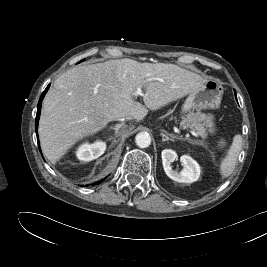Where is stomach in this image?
<instances>
[{
	"instance_id": "1",
	"label": "stomach",
	"mask_w": 267,
	"mask_h": 267,
	"mask_svg": "<svg viewBox=\"0 0 267 267\" xmlns=\"http://www.w3.org/2000/svg\"><path fill=\"white\" fill-rule=\"evenodd\" d=\"M223 95L221 84L216 80H208L202 88L189 93L182 107V114L199 109H217Z\"/></svg>"
}]
</instances>
